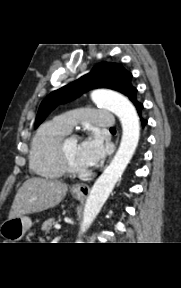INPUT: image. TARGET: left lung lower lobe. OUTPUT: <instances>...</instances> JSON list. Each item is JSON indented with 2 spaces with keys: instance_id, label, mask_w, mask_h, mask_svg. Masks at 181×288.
<instances>
[{
  "instance_id": "0a47b994",
  "label": "left lung lower lobe",
  "mask_w": 181,
  "mask_h": 288,
  "mask_svg": "<svg viewBox=\"0 0 181 288\" xmlns=\"http://www.w3.org/2000/svg\"><path fill=\"white\" fill-rule=\"evenodd\" d=\"M130 100L134 103V105L136 106V109H137V111H138V113H139V115H140L141 110H142V108H143V104L139 103V102L136 100V93L131 97ZM141 122H142V125H143V126H145V125L147 124V121L144 120L143 118H141Z\"/></svg>"
}]
</instances>
